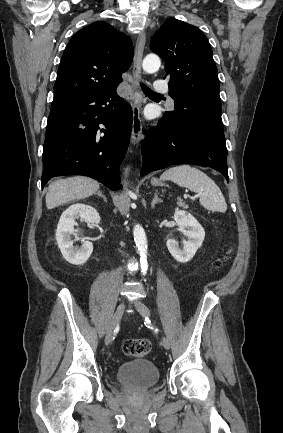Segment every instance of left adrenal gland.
<instances>
[{
	"label": "left adrenal gland",
	"instance_id": "a2214340",
	"mask_svg": "<svg viewBox=\"0 0 283 433\" xmlns=\"http://www.w3.org/2000/svg\"><path fill=\"white\" fill-rule=\"evenodd\" d=\"M156 202H162V198H159V196L157 194V190H156V192H154V198H153V200L151 202L152 208H154Z\"/></svg>",
	"mask_w": 283,
	"mask_h": 433
}]
</instances>
